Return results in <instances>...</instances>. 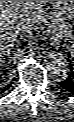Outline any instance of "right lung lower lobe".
Listing matches in <instances>:
<instances>
[{
    "mask_svg": "<svg viewBox=\"0 0 74 122\" xmlns=\"http://www.w3.org/2000/svg\"><path fill=\"white\" fill-rule=\"evenodd\" d=\"M25 45H26V42H25V43H23L21 47H23V46H25ZM9 87H10V85L6 86L4 89H2V91H1V92H4V91H5L6 89H8Z\"/></svg>",
    "mask_w": 74,
    "mask_h": 122,
    "instance_id": "98d812e1",
    "label": "right lung lower lobe"
}]
</instances>
